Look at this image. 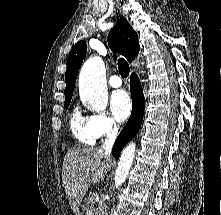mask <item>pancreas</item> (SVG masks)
<instances>
[{"instance_id": "obj_1", "label": "pancreas", "mask_w": 221, "mask_h": 215, "mask_svg": "<svg viewBox=\"0 0 221 215\" xmlns=\"http://www.w3.org/2000/svg\"><path fill=\"white\" fill-rule=\"evenodd\" d=\"M94 202V196H92V194L90 193L87 197H86V203H85V207L86 210H88L90 207H92V204ZM97 211L95 210L93 215H97ZM87 215V214H86Z\"/></svg>"}]
</instances>
